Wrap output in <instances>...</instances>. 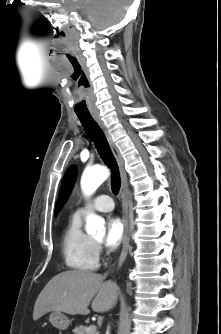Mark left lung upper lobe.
I'll return each mask as SVG.
<instances>
[{"mask_svg":"<svg viewBox=\"0 0 221 334\" xmlns=\"http://www.w3.org/2000/svg\"><path fill=\"white\" fill-rule=\"evenodd\" d=\"M76 177V168L74 166H70L64 176L62 186L60 189V194L58 198V202L56 205V211L61 207V205L66 200Z\"/></svg>","mask_w":221,"mask_h":334,"instance_id":"5c2ea615","label":"left lung upper lobe"}]
</instances>
